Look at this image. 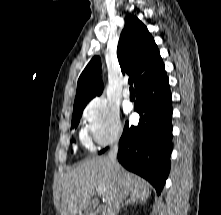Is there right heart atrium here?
<instances>
[{
	"instance_id": "right-heart-atrium-1",
	"label": "right heart atrium",
	"mask_w": 221,
	"mask_h": 215,
	"mask_svg": "<svg viewBox=\"0 0 221 215\" xmlns=\"http://www.w3.org/2000/svg\"><path fill=\"white\" fill-rule=\"evenodd\" d=\"M83 119L92 140L100 146L109 145L122 135L118 108L104 97L94 98L85 107Z\"/></svg>"
}]
</instances>
